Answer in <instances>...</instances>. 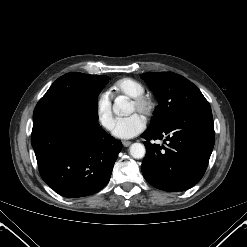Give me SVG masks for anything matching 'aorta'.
Here are the masks:
<instances>
[{"label": "aorta", "mask_w": 247, "mask_h": 247, "mask_svg": "<svg viewBox=\"0 0 247 247\" xmlns=\"http://www.w3.org/2000/svg\"><path fill=\"white\" fill-rule=\"evenodd\" d=\"M113 111L116 115H128L131 112V105L124 97L115 99ZM146 149L141 143H133L130 146V155L135 159H141L145 156Z\"/></svg>", "instance_id": "obj_1"}]
</instances>
